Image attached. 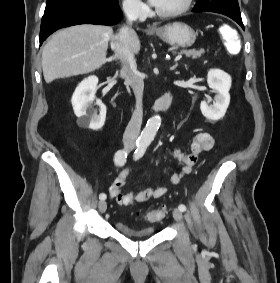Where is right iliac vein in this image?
I'll use <instances>...</instances> for the list:
<instances>
[{
	"mask_svg": "<svg viewBox=\"0 0 280 283\" xmlns=\"http://www.w3.org/2000/svg\"><path fill=\"white\" fill-rule=\"evenodd\" d=\"M98 207H99V211H100L101 213H104V212L106 211V209H107V203H106V201L101 200V201L99 202V204H98Z\"/></svg>",
	"mask_w": 280,
	"mask_h": 283,
	"instance_id": "63e3f726",
	"label": "right iliac vein"
}]
</instances>
